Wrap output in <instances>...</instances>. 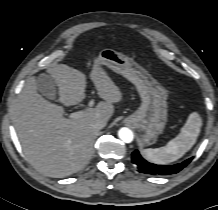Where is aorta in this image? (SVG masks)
Segmentation results:
<instances>
[{
  "label": "aorta",
  "instance_id": "obj_1",
  "mask_svg": "<svg viewBox=\"0 0 218 210\" xmlns=\"http://www.w3.org/2000/svg\"><path fill=\"white\" fill-rule=\"evenodd\" d=\"M119 138L125 143H131L133 141L134 135L129 128H121L118 132Z\"/></svg>",
  "mask_w": 218,
  "mask_h": 210
}]
</instances>
